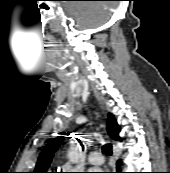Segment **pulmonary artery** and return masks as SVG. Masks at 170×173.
<instances>
[{
  "label": "pulmonary artery",
  "mask_w": 170,
  "mask_h": 173,
  "mask_svg": "<svg viewBox=\"0 0 170 173\" xmlns=\"http://www.w3.org/2000/svg\"><path fill=\"white\" fill-rule=\"evenodd\" d=\"M88 161L90 164L99 166L102 165L104 162L103 155L99 151H91L88 155Z\"/></svg>",
  "instance_id": "pulmonary-artery-1"
}]
</instances>
